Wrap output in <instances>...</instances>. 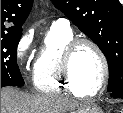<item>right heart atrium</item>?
I'll return each instance as SVG.
<instances>
[{"instance_id":"obj_1","label":"right heart atrium","mask_w":123,"mask_h":113,"mask_svg":"<svg viewBox=\"0 0 123 113\" xmlns=\"http://www.w3.org/2000/svg\"><path fill=\"white\" fill-rule=\"evenodd\" d=\"M31 42H32L31 35L27 34L23 36L16 45L15 49L16 62L21 69H23L27 64Z\"/></svg>"}]
</instances>
